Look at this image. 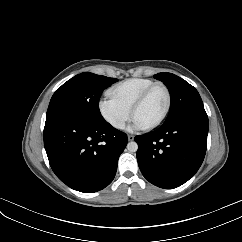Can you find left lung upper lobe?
Segmentation results:
<instances>
[{"instance_id": "1", "label": "left lung upper lobe", "mask_w": 242, "mask_h": 242, "mask_svg": "<svg viewBox=\"0 0 242 242\" xmlns=\"http://www.w3.org/2000/svg\"><path fill=\"white\" fill-rule=\"evenodd\" d=\"M154 78L162 81L171 96L169 115L164 123L193 111H204L203 102L197 90L182 78L172 73H158Z\"/></svg>"}]
</instances>
